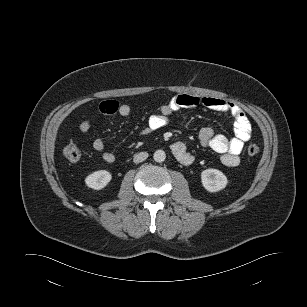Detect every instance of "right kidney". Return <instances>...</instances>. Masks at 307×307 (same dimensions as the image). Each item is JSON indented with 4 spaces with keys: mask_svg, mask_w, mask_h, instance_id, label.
Returning <instances> with one entry per match:
<instances>
[{
    "mask_svg": "<svg viewBox=\"0 0 307 307\" xmlns=\"http://www.w3.org/2000/svg\"><path fill=\"white\" fill-rule=\"evenodd\" d=\"M112 179L110 172L99 170L91 173L85 178V183L88 187L94 190L103 189Z\"/></svg>",
    "mask_w": 307,
    "mask_h": 307,
    "instance_id": "1",
    "label": "right kidney"
}]
</instances>
